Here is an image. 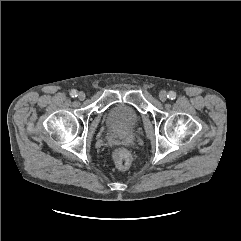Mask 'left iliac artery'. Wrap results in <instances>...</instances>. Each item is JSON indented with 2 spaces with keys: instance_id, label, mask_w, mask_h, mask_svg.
<instances>
[{
  "instance_id": "1",
  "label": "left iliac artery",
  "mask_w": 241,
  "mask_h": 241,
  "mask_svg": "<svg viewBox=\"0 0 241 241\" xmlns=\"http://www.w3.org/2000/svg\"><path fill=\"white\" fill-rule=\"evenodd\" d=\"M167 97L171 100L176 98V93L174 91H170L167 95Z\"/></svg>"
}]
</instances>
